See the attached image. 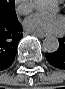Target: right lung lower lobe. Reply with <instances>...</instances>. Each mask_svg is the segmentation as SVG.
<instances>
[{
  "instance_id": "98d812e1",
  "label": "right lung lower lobe",
  "mask_w": 65,
  "mask_h": 89,
  "mask_svg": "<svg viewBox=\"0 0 65 89\" xmlns=\"http://www.w3.org/2000/svg\"><path fill=\"white\" fill-rule=\"evenodd\" d=\"M22 37V25L18 20L0 21V71L13 63Z\"/></svg>"
}]
</instances>
